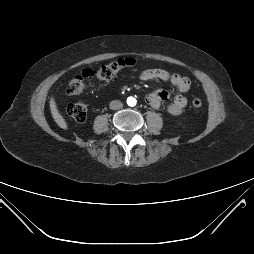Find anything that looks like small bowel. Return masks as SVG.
Masks as SVG:
<instances>
[{
  "label": "small bowel",
  "mask_w": 254,
  "mask_h": 254,
  "mask_svg": "<svg viewBox=\"0 0 254 254\" xmlns=\"http://www.w3.org/2000/svg\"><path fill=\"white\" fill-rule=\"evenodd\" d=\"M142 81L160 80L170 83L180 93L187 92L191 87V81L185 76L172 74L164 69L153 68L146 69L140 73ZM171 94L165 90H158L146 96V102L154 109H159L165 100L169 99ZM187 105V99L182 94L172 96L171 103L168 105L169 113L173 115L181 114Z\"/></svg>",
  "instance_id": "small-bowel-1"
}]
</instances>
